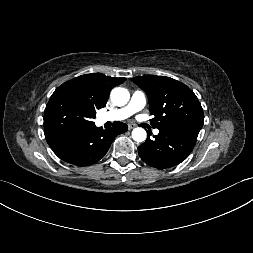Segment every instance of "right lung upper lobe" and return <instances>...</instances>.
Instances as JSON below:
<instances>
[{
  "label": "right lung upper lobe",
  "instance_id": "1",
  "mask_svg": "<svg viewBox=\"0 0 253 253\" xmlns=\"http://www.w3.org/2000/svg\"><path fill=\"white\" fill-rule=\"evenodd\" d=\"M125 80L126 78H115L94 73L78 76L60 87L74 90L94 109H100L106 105L111 89Z\"/></svg>",
  "mask_w": 253,
  "mask_h": 253
}]
</instances>
